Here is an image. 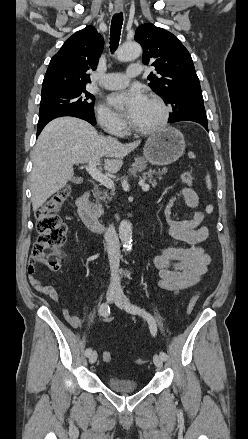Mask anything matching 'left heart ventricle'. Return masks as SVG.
I'll list each match as a JSON object with an SVG mask.
<instances>
[{
    "instance_id": "left-heart-ventricle-1",
    "label": "left heart ventricle",
    "mask_w": 248,
    "mask_h": 439,
    "mask_svg": "<svg viewBox=\"0 0 248 439\" xmlns=\"http://www.w3.org/2000/svg\"><path fill=\"white\" fill-rule=\"evenodd\" d=\"M161 116L160 107L147 99L138 116L132 121L138 127L148 128L158 123Z\"/></svg>"
}]
</instances>
